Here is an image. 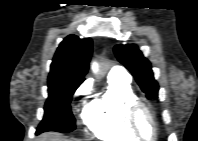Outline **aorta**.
Here are the masks:
<instances>
[{
	"label": "aorta",
	"instance_id": "aorta-1",
	"mask_svg": "<svg viewBox=\"0 0 198 141\" xmlns=\"http://www.w3.org/2000/svg\"><path fill=\"white\" fill-rule=\"evenodd\" d=\"M91 69L94 73H97L99 71V65L96 62H93L91 65Z\"/></svg>",
	"mask_w": 198,
	"mask_h": 141
}]
</instances>
